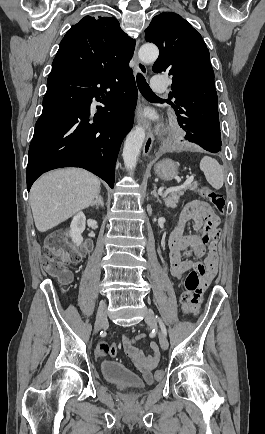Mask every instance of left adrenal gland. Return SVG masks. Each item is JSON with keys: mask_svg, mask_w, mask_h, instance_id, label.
I'll use <instances>...</instances> for the list:
<instances>
[{"mask_svg": "<svg viewBox=\"0 0 265 434\" xmlns=\"http://www.w3.org/2000/svg\"><path fill=\"white\" fill-rule=\"evenodd\" d=\"M153 186H154V188H153V192H151V196H155V198H157V202H159V204H162V202H161V200H160V198L156 192V190H157L156 184H153Z\"/></svg>", "mask_w": 265, "mask_h": 434, "instance_id": "left-adrenal-gland-1", "label": "left adrenal gland"}]
</instances>
